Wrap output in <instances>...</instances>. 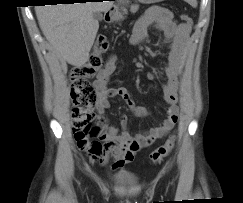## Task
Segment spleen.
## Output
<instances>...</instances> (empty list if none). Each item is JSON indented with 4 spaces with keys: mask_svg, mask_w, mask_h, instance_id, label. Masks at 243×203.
Here are the masks:
<instances>
[{
    "mask_svg": "<svg viewBox=\"0 0 243 203\" xmlns=\"http://www.w3.org/2000/svg\"><path fill=\"white\" fill-rule=\"evenodd\" d=\"M188 2L192 7H197V1L196 0H185Z\"/></svg>",
    "mask_w": 243,
    "mask_h": 203,
    "instance_id": "obj_1",
    "label": "spleen"
}]
</instances>
